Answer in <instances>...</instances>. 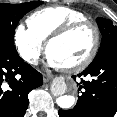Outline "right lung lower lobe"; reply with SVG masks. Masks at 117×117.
Returning a JSON list of instances; mask_svg holds the SVG:
<instances>
[{
  "instance_id": "obj_1",
  "label": "right lung lower lobe",
  "mask_w": 117,
  "mask_h": 117,
  "mask_svg": "<svg viewBox=\"0 0 117 117\" xmlns=\"http://www.w3.org/2000/svg\"><path fill=\"white\" fill-rule=\"evenodd\" d=\"M42 84V74L26 64L17 51L0 49V117H23L28 93Z\"/></svg>"
}]
</instances>
